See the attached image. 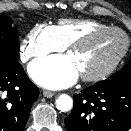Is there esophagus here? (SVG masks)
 <instances>
[{"label": "esophagus", "mask_w": 131, "mask_h": 131, "mask_svg": "<svg viewBox=\"0 0 131 131\" xmlns=\"http://www.w3.org/2000/svg\"><path fill=\"white\" fill-rule=\"evenodd\" d=\"M43 95H44L45 97H47V98H51V97H53V96L55 95V93H54V92H51V91H48V90H44V91H43Z\"/></svg>", "instance_id": "1"}]
</instances>
